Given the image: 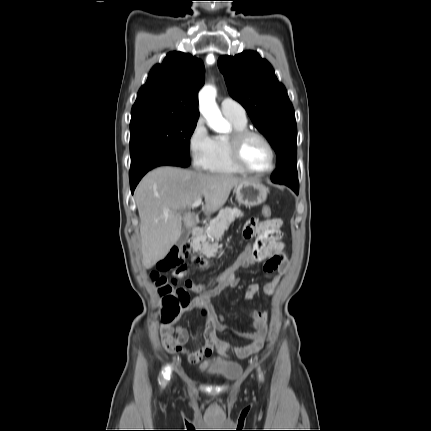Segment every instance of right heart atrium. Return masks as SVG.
<instances>
[{
  "mask_svg": "<svg viewBox=\"0 0 431 431\" xmlns=\"http://www.w3.org/2000/svg\"><path fill=\"white\" fill-rule=\"evenodd\" d=\"M187 147L193 167L208 170L214 154V138L201 118L196 120L188 134Z\"/></svg>",
  "mask_w": 431,
  "mask_h": 431,
  "instance_id": "right-heart-atrium-1",
  "label": "right heart atrium"
}]
</instances>
